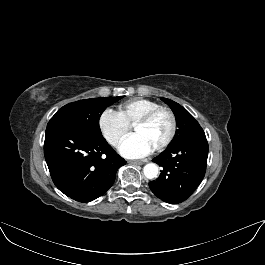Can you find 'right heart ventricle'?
Returning a JSON list of instances; mask_svg holds the SVG:
<instances>
[{"label": "right heart ventricle", "mask_w": 265, "mask_h": 265, "mask_svg": "<svg viewBox=\"0 0 265 265\" xmlns=\"http://www.w3.org/2000/svg\"><path fill=\"white\" fill-rule=\"evenodd\" d=\"M159 106V103L150 99L134 98L121 103L118 106V114L130 126L146 112Z\"/></svg>", "instance_id": "obj_1"}]
</instances>
